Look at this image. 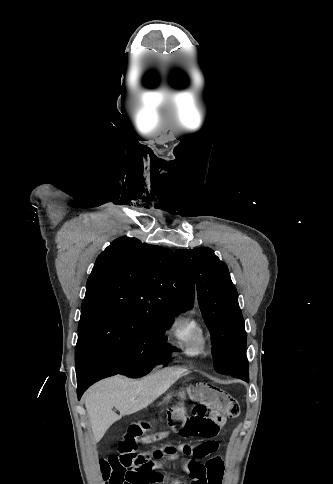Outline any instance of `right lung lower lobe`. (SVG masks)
<instances>
[{"label":"right lung lower lobe","instance_id":"right-lung-lower-lobe-1","mask_svg":"<svg viewBox=\"0 0 333 484\" xmlns=\"http://www.w3.org/2000/svg\"><path fill=\"white\" fill-rule=\"evenodd\" d=\"M118 372L105 358L98 356L92 357L80 369H76L78 399H80L83 392L94 382L104 377L117 374Z\"/></svg>","mask_w":333,"mask_h":484}]
</instances>
